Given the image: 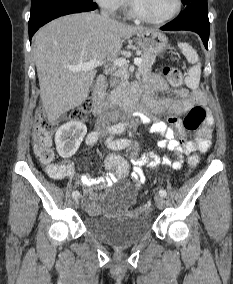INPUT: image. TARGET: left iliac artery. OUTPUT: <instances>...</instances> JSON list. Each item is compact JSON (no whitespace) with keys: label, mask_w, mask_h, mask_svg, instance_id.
Returning <instances> with one entry per match:
<instances>
[{"label":"left iliac artery","mask_w":233,"mask_h":284,"mask_svg":"<svg viewBox=\"0 0 233 284\" xmlns=\"http://www.w3.org/2000/svg\"><path fill=\"white\" fill-rule=\"evenodd\" d=\"M116 133H117V134H120V133H122V130H121V129H118V130L116 131ZM107 143H108V146H109L110 148H112V149H123V148H125L126 146L129 145L130 140H128V139H117V140L112 141L111 138H109V139L107 140ZM159 194H160L162 197H166L167 192H166V190L161 189V190L159 191Z\"/></svg>","instance_id":"1"}]
</instances>
